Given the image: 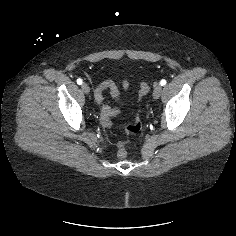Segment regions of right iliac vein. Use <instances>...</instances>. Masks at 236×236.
<instances>
[{
	"label": "right iliac vein",
	"mask_w": 236,
	"mask_h": 236,
	"mask_svg": "<svg viewBox=\"0 0 236 236\" xmlns=\"http://www.w3.org/2000/svg\"><path fill=\"white\" fill-rule=\"evenodd\" d=\"M81 89L85 94H89V92H90V87L87 83H83L81 85Z\"/></svg>",
	"instance_id": "63e3f726"
}]
</instances>
